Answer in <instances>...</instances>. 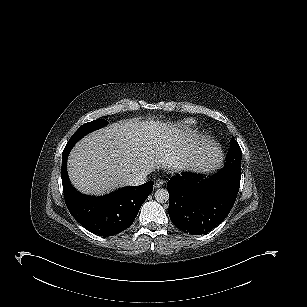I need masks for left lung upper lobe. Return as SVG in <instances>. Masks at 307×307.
<instances>
[{"label":"left lung upper lobe","instance_id":"obj_1","mask_svg":"<svg viewBox=\"0 0 307 307\" xmlns=\"http://www.w3.org/2000/svg\"><path fill=\"white\" fill-rule=\"evenodd\" d=\"M241 149L236 140L232 137L230 149L226 155L225 165L241 168Z\"/></svg>","mask_w":307,"mask_h":307}]
</instances>
